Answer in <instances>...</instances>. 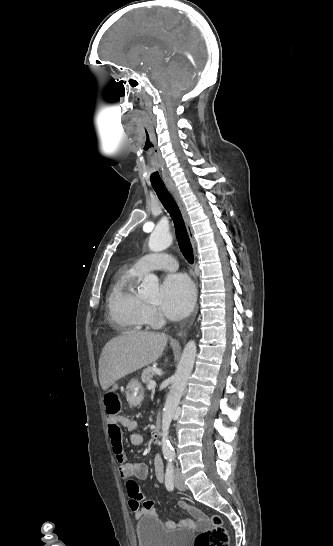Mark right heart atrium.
Wrapping results in <instances>:
<instances>
[{"label": "right heart atrium", "mask_w": 333, "mask_h": 546, "mask_svg": "<svg viewBox=\"0 0 333 546\" xmlns=\"http://www.w3.org/2000/svg\"><path fill=\"white\" fill-rule=\"evenodd\" d=\"M142 312L147 323L155 325L162 321V317L157 309L151 305L144 304Z\"/></svg>", "instance_id": "right-heart-atrium-1"}]
</instances>
